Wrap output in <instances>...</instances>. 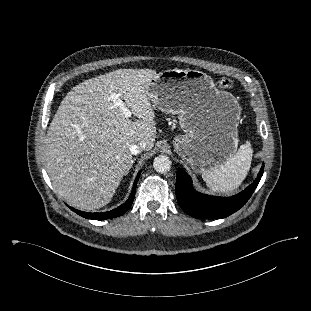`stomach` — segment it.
<instances>
[{"label":"stomach","instance_id":"1","mask_svg":"<svg viewBox=\"0 0 311 311\" xmlns=\"http://www.w3.org/2000/svg\"><path fill=\"white\" fill-rule=\"evenodd\" d=\"M147 89L157 108L179 115L184 134L176 136L173 145L196 173L219 168L236 153L239 104L232 94L219 91L206 73L165 70Z\"/></svg>","mask_w":311,"mask_h":311}]
</instances>
